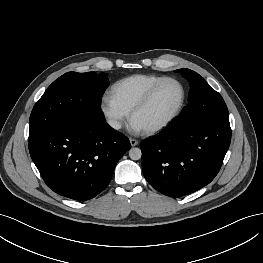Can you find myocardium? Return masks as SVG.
Here are the masks:
<instances>
[{
	"label": "myocardium",
	"instance_id": "obj_1",
	"mask_svg": "<svg viewBox=\"0 0 263 263\" xmlns=\"http://www.w3.org/2000/svg\"><path fill=\"white\" fill-rule=\"evenodd\" d=\"M167 81H173L176 82L182 91V97H181V101L177 107V109L175 110V112L168 117L166 120H164L163 122L152 126L150 128L147 129H143V133L145 135H153L156 134L162 130H164L165 128H167L169 125H171L181 114V112L183 111L186 101H187V88L185 86V84L178 78L176 77H172V76H168V77H163L161 80H159L158 82H156L145 94L144 96L139 100L138 103L135 104V106L131 109L130 111V117L133 120V117L135 116L136 113H138L140 110H142L143 108H145L149 102L151 101L152 97L154 96L155 92L158 90V88L165 82Z\"/></svg>",
	"mask_w": 263,
	"mask_h": 263
}]
</instances>
